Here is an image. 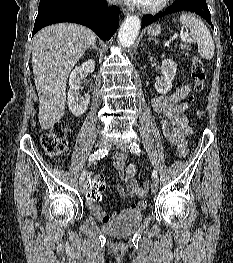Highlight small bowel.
<instances>
[{
	"label": "small bowel",
	"mask_w": 233,
	"mask_h": 263,
	"mask_svg": "<svg viewBox=\"0 0 233 263\" xmlns=\"http://www.w3.org/2000/svg\"><path fill=\"white\" fill-rule=\"evenodd\" d=\"M190 89L191 83L187 82L171 94L158 95L151 100L152 109L160 119L163 135L176 147L178 153L183 149H187V139L192 133L187 118L184 116V112L188 107L185 98ZM113 165L125 184V186H117L118 195L120 197H138V201L132 203L130 209L139 211L144 209L146 194L137 182L134 166L127 165L126 154H116ZM88 205L95 218L102 223L109 222L116 216V214L108 215L96 202H88Z\"/></svg>",
	"instance_id": "obj_1"
}]
</instances>
